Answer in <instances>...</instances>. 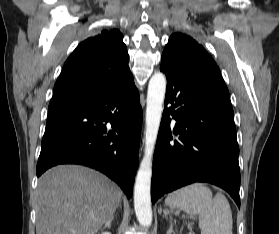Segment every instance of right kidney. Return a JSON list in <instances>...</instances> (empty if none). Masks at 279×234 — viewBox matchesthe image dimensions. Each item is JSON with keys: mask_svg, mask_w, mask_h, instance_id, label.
<instances>
[{"mask_svg": "<svg viewBox=\"0 0 279 234\" xmlns=\"http://www.w3.org/2000/svg\"><path fill=\"white\" fill-rule=\"evenodd\" d=\"M101 234H111L110 232H102Z\"/></svg>", "mask_w": 279, "mask_h": 234, "instance_id": "obj_1", "label": "right kidney"}]
</instances>
